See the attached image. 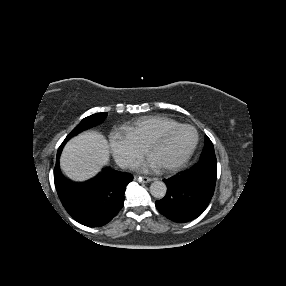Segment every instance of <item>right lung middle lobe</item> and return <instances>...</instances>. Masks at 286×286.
Returning <instances> with one entry per match:
<instances>
[{
  "label": "right lung middle lobe",
  "instance_id": "dd1d6c3e",
  "mask_svg": "<svg viewBox=\"0 0 286 286\" xmlns=\"http://www.w3.org/2000/svg\"><path fill=\"white\" fill-rule=\"evenodd\" d=\"M107 117V113H96L91 116H88L84 118L66 137L64 140V144L66 143L67 140H69L72 136L78 134L79 132L88 129L90 127L96 126L100 123H102L105 118Z\"/></svg>",
  "mask_w": 286,
  "mask_h": 286
}]
</instances>
